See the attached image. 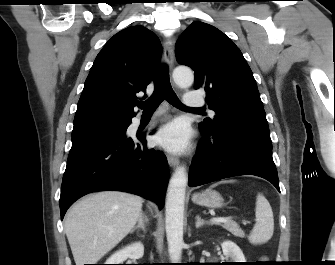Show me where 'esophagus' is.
I'll return each mask as SVG.
<instances>
[{
  "instance_id": "obj_1",
  "label": "esophagus",
  "mask_w": 335,
  "mask_h": 265,
  "mask_svg": "<svg viewBox=\"0 0 335 265\" xmlns=\"http://www.w3.org/2000/svg\"><path fill=\"white\" fill-rule=\"evenodd\" d=\"M163 56L166 64L172 68L174 63V40L172 37L165 39ZM167 160L171 167H176L179 164L178 157L174 155L168 154Z\"/></svg>"
}]
</instances>
